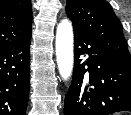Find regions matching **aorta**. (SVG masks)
Wrapping results in <instances>:
<instances>
[{
	"label": "aorta",
	"instance_id": "aorta-1",
	"mask_svg": "<svg viewBox=\"0 0 131 115\" xmlns=\"http://www.w3.org/2000/svg\"><path fill=\"white\" fill-rule=\"evenodd\" d=\"M56 59L60 76L68 80L73 71V28L69 20H62L56 31Z\"/></svg>",
	"mask_w": 131,
	"mask_h": 115
}]
</instances>
